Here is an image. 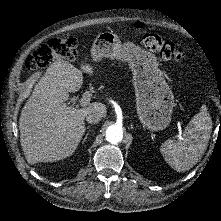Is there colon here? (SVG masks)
I'll list each match as a JSON object with an SVG mask.
<instances>
[{"mask_svg": "<svg viewBox=\"0 0 221 221\" xmlns=\"http://www.w3.org/2000/svg\"><path fill=\"white\" fill-rule=\"evenodd\" d=\"M136 25L141 29L140 23H136ZM141 43L146 49L157 53L165 60L181 61L192 53L191 48L180 46L153 33H144ZM77 48L78 42L74 36L53 39L28 55L24 62V68L31 73L55 60L74 59L77 57Z\"/></svg>", "mask_w": 221, "mask_h": 221, "instance_id": "obj_1", "label": "colon"}]
</instances>
